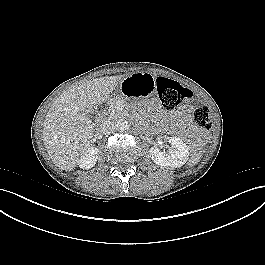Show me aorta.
Returning <instances> with one entry per match:
<instances>
[{"instance_id": "obj_1", "label": "aorta", "mask_w": 265, "mask_h": 265, "mask_svg": "<svg viewBox=\"0 0 265 265\" xmlns=\"http://www.w3.org/2000/svg\"><path fill=\"white\" fill-rule=\"evenodd\" d=\"M116 128L120 131H125L129 128L128 122L124 120H118L115 124Z\"/></svg>"}]
</instances>
